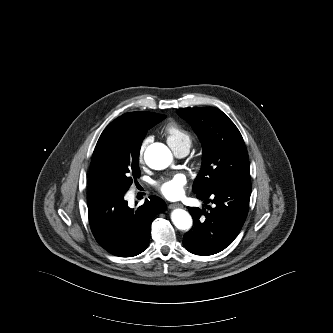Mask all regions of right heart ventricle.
Returning a JSON list of instances; mask_svg holds the SVG:
<instances>
[{"label": "right heart ventricle", "instance_id": "obj_1", "mask_svg": "<svg viewBox=\"0 0 333 333\" xmlns=\"http://www.w3.org/2000/svg\"><path fill=\"white\" fill-rule=\"evenodd\" d=\"M164 134L166 136L167 142L174 151L181 148L190 149L193 136L192 134L175 121L168 122L164 127Z\"/></svg>", "mask_w": 333, "mask_h": 333}]
</instances>
